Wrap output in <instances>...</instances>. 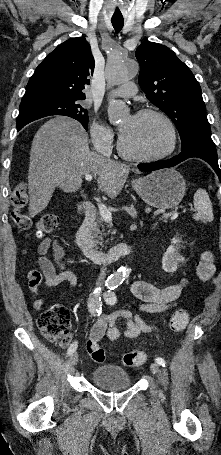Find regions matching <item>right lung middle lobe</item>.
Returning a JSON list of instances; mask_svg holds the SVG:
<instances>
[{"label":"right lung middle lobe","instance_id":"obj_1","mask_svg":"<svg viewBox=\"0 0 221 455\" xmlns=\"http://www.w3.org/2000/svg\"><path fill=\"white\" fill-rule=\"evenodd\" d=\"M17 128H22L29 122L51 115H64L78 120L87 130V110L80 104L79 100H60L36 103L19 107Z\"/></svg>","mask_w":221,"mask_h":455}]
</instances>
